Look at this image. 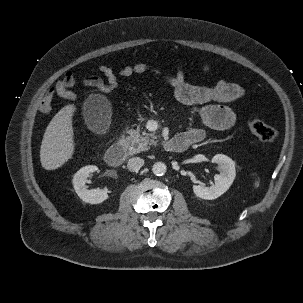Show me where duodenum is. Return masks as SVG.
Listing matches in <instances>:
<instances>
[{
  "label": "duodenum",
  "mask_w": 303,
  "mask_h": 303,
  "mask_svg": "<svg viewBox=\"0 0 303 303\" xmlns=\"http://www.w3.org/2000/svg\"><path fill=\"white\" fill-rule=\"evenodd\" d=\"M191 145V141L183 136L177 135L164 143V149L168 152L179 153L185 151ZM126 157V148L122 143H115L105 153V161L108 165L117 167L121 165Z\"/></svg>",
  "instance_id": "duodenum-1"
}]
</instances>
